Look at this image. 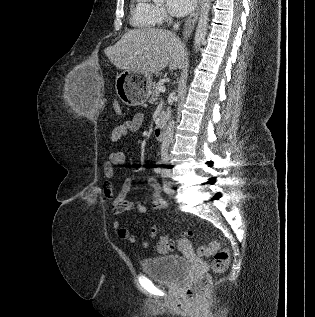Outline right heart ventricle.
<instances>
[{
    "instance_id": "obj_1",
    "label": "right heart ventricle",
    "mask_w": 315,
    "mask_h": 317,
    "mask_svg": "<svg viewBox=\"0 0 315 317\" xmlns=\"http://www.w3.org/2000/svg\"><path fill=\"white\" fill-rule=\"evenodd\" d=\"M130 23L136 28H151L159 23L155 6L149 0H131Z\"/></svg>"
}]
</instances>
